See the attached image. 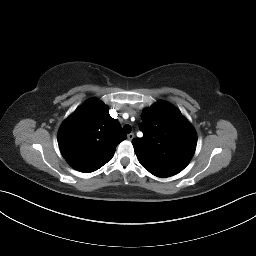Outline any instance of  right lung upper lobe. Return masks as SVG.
<instances>
[{"label":"right lung upper lobe","instance_id":"obj_1","mask_svg":"<svg viewBox=\"0 0 256 256\" xmlns=\"http://www.w3.org/2000/svg\"><path fill=\"white\" fill-rule=\"evenodd\" d=\"M108 111L104 103L90 99L61 125L59 148L74 169L84 173L96 171L111 160L116 146L127 138Z\"/></svg>","mask_w":256,"mask_h":256}]
</instances>
